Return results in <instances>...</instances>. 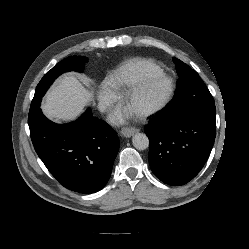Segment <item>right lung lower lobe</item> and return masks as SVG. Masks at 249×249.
Listing matches in <instances>:
<instances>
[{"instance_id": "right-lung-lower-lobe-1", "label": "right lung lower lobe", "mask_w": 249, "mask_h": 249, "mask_svg": "<svg viewBox=\"0 0 249 249\" xmlns=\"http://www.w3.org/2000/svg\"><path fill=\"white\" fill-rule=\"evenodd\" d=\"M40 102H35L36 111L29 114L28 124L35 151L49 172L72 191L101 190L119 150L116 132L93 117L90 108L74 122L53 123L42 114Z\"/></svg>"}]
</instances>
